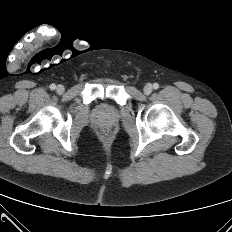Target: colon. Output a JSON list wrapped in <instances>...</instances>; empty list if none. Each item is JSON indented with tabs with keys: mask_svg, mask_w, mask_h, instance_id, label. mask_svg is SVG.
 Segmentation results:
<instances>
[{
	"mask_svg": "<svg viewBox=\"0 0 232 232\" xmlns=\"http://www.w3.org/2000/svg\"><path fill=\"white\" fill-rule=\"evenodd\" d=\"M105 134H107L108 132L107 131H104Z\"/></svg>",
	"mask_w": 232,
	"mask_h": 232,
	"instance_id": "1",
	"label": "colon"
}]
</instances>
